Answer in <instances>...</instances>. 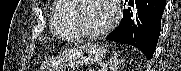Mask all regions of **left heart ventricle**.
Here are the masks:
<instances>
[{
  "mask_svg": "<svg viewBox=\"0 0 181 71\" xmlns=\"http://www.w3.org/2000/svg\"><path fill=\"white\" fill-rule=\"evenodd\" d=\"M78 17L84 28L98 31L110 21L111 11L103 0H83L80 1Z\"/></svg>",
  "mask_w": 181,
  "mask_h": 71,
  "instance_id": "1",
  "label": "left heart ventricle"
}]
</instances>
